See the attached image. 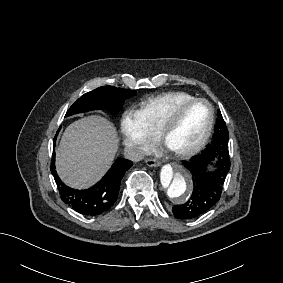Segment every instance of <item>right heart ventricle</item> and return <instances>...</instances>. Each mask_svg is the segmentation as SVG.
Returning a JSON list of instances; mask_svg holds the SVG:
<instances>
[{
  "instance_id": "e07e8e85",
  "label": "right heart ventricle",
  "mask_w": 283,
  "mask_h": 283,
  "mask_svg": "<svg viewBox=\"0 0 283 283\" xmlns=\"http://www.w3.org/2000/svg\"><path fill=\"white\" fill-rule=\"evenodd\" d=\"M195 97V95L184 91L168 92L141 102L138 111L142 115L145 123L154 137L156 136V131L158 128L157 118L165 102H168V106L166 107L167 109L169 106H174V104L177 102L186 101Z\"/></svg>"
}]
</instances>
